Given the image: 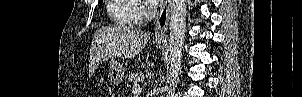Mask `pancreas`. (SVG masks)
Wrapping results in <instances>:
<instances>
[{
  "instance_id": "obj_1",
  "label": "pancreas",
  "mask_w": 302,
  "mask_h": 97,
  "mask_svg": "<svg viewBox=\"0 0 302 97\" xmlns=\"http://www.w3.org/2000/svg\"><path fill=\"white\" fill-rule=\"evenodd\" d=\"M144 80V74L142 71L131 72L128 74V87L131 85H138Z\"/></svg>"
}]
</instances>
